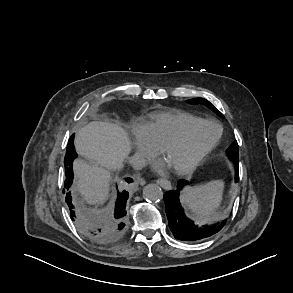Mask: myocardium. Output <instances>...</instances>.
Returning a JSON list of instances; mask_svg holds the SVG:
<instances>
[{
  "instance_id": "obj_1",
  "label": "myocardium",
  "mask_w": 293,
  "mask_h": 293,
  "mask_svg": "<svg viewBox=\"0 0 293 293\" xmlns=\"http://www.w3.org/2000/svg\"><path fill=\"white\" fill-rule=\"evenodd\" d=\"M200 125H210L214 126L217 129L216 135L213 137V139L189 162H187L184 165L174 167L173 170L178 175H186L194 171L202 162L203 160L211 153V151L217 146L218 142L220 141V138L222 136V128L219 124L209 121V120H203L199 119L196 120L188 125H186L178 134L176 137H174L172 140L168 141L164 145H162L159 148V152L164 156L169 151L177 148L180 146L187 134L190 132L191 129H193L196 126Z\"/></svg>"
}]
</instances>
